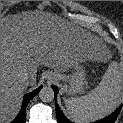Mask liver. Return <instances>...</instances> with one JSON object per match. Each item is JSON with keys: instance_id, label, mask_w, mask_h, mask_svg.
I'll use <instances>...</instances> for the list:
<instances>
[{"instance_id": "1", "label": "liver", "mask_w": 123, "mask_h": 123, "mask_svg": "<svg viewBox=\"0 0 123 123\" xmlns=\"http://www.w3.org/2000/svg\"><path fill=\"white\" fill-rule=\"evenodd\" d=\"M104 45L90 32L45 12H23L1 19V123L19 111L28 86L36 83L39 65L67 71L97 59ZM28 72L25 81L21 74Z\"/></svg>"}]
</instances>
